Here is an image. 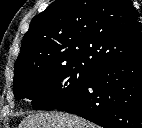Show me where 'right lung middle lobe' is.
<instances>
[{
    "label": "right lung middle lobe",
    "mask_w": 142,
    "mask_h": 128,
    "mask_svg": "<svg viewBox=\"0 0 142 128\" xmlns=\"http://www.w3.org/2000/svg\"><path fill=\"white\" fill-rule=\"evenodd\" d=\"M92 73L81 65L34 68L14 78V96L32 100L34 110L58 109L84 90Z\"/></svg>",
    "instance_id": "1"
}]
</instances>
